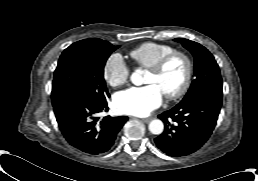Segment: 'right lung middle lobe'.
<instances>
[{
    "label": "right lung middle lobe",
    "instance_id": "1",
    "mask_svg": "<svg viewBox=\"0 0 258 181\" xmlns=\"http://www.w3.org/2000/svg\"><path fill=\"white\" fill-rule=\"evenodd\" d=\"M119 46L90 38L73 43L66 48L54 72L52 95L72 93L96 103L106 102L104 65L110 54Z\"/></svg>",
    "mask_w": 258,
    "mask_h": 181
}]
</instances>
